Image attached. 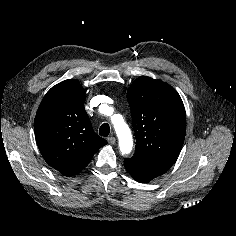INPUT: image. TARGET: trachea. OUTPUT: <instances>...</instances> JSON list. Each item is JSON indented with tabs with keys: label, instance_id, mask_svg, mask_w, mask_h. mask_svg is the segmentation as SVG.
Returning <instances> with one entry per match:
<instances>
[{
	"label": "trachea",
	"instance_id": "obj_1",
	"mask_svg": "<svg viewBox=\"0 0 236 236\" xmlns=\"http://www.w3.org/2000/svg\"><path fill=\"white\" fill-rule=\"evenodd\" d=\"M110 133V126L107 123H104L100 126L99 135L107 137Z\"/></svg>",
	"mask_w": 236,
	"mask_h": 236
}]
</instances>
